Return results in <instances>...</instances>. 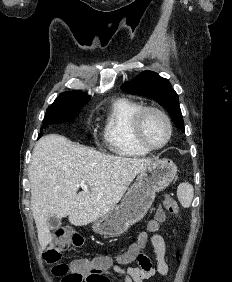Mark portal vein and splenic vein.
<instances>
[{
	"mask_svg": "<svg viewBox=\"0 0 232 282\" xmlns=\"http://www.w3.org/2000/svg\"><path fill=\"white\" fill-rule=\"evenodd\" d=\"M77 187H81L85 192L88 191L87 185L84 182L77 184Z\"/></svg>",
	"mask_w": 232,
	"mask_h": 282,
	"instance_id": "1",
	"label": "portal vein and splenic vein"
}]
</instances>
